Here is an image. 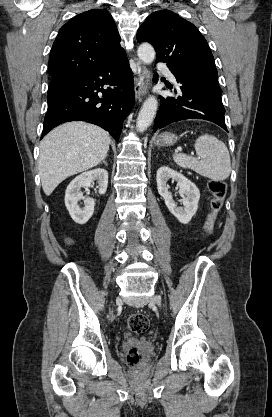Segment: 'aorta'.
I'll list each match as a JSON object with an SVG mask.
<instances>
[{
    "mask_svg": "<svg viewBox=\"0 0 272 417\" xmlns=\"http://www.w3.org/2000/svg\"><path fill=\"white\" fill-rule=\"evenodd\" d=\"M137 54L139 59L145 64H150L155 59V50L149 43L141 44L137 50ZM157 107L158 102L156 97L150 96L146 99L137 118V131L143 132L151 125Z\"/></svg>",
    "mask_w": 272,
    "mask_h": 417,
    "instance_id": "obj_1",
    "label": "aorta"
}]
</instances>
